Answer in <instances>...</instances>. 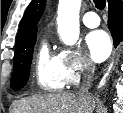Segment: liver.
<instances>
[{
    "label": "liver",
    "instance_id": "1",
    "mask_svg": "<svg viewBox=\"0 0 123 113\" xmlns=\"http://www.w3.org/2000/svg\"><path fill=\"white\" fill-rule=\"evenodd\" d=\"M94 99L70 92L35 95L14 102L13 113H92Z\"/></svg>",
    "mask_w": 123,
    "mask_h": 113
}]
</instances>
